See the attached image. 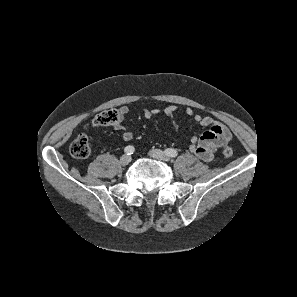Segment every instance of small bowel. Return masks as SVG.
<instances>
[{
	"instance_id": "small-bowel-1",
	"label": "small bowel",
	"mask_w": 297,
	"mask_h": 297,
	"mask_svg": "<svg viewBox=\"0 0 297 297\" xmlns=\"http://www.w3.org/2000/svg\"><path fill=\"white\" fill-rule=\"evenodd\" d=\"M177 108L174 105H169L164 109V113L172 119V124L177 130L178 125L174 120V114L176 113ZM129 112L127 106H122L119 108L120 120L114 125V128L119 131H123L122 138L125 142L132 140L133 133L127 130H124V127L121 123L123 117ZM159 110L157 109H147L144 111V117L150 119L158 114ZM185 113L188 116H192L193 119L200 123L202 126L206 127L207 130L203 132L199 140L192 138L189 149L191 152L196 154L198 158L203 161H211L213 159L214 153L219 148L220 145L229 141L231 134L230 131L223 126L222 124L216 122L210 116H202L199 114H194L193 109L187 108Z\"/></svg>"
}]
</instances>
